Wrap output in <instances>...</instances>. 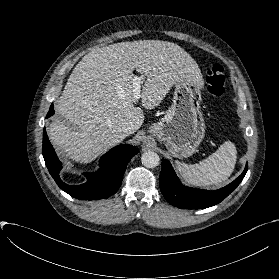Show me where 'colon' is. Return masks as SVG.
Listing matches in <instances>:
<instances>
[{
	"instance_id": "obj_1",
	"label": "colon",
	"mask_w": 279,
	"mask_h": 279,
	"mask_svg": "<svg viewBox=\"0 0 279 279\" xmlns=\"http://www.w3.org/2000/svg\"><path fill=\"white\" fill-rule=\"evenodd\" d=\"M208 92L213 97H220L225 90V71L220 64H213L206 71Z\"/></svg>"
}]
</instances>
